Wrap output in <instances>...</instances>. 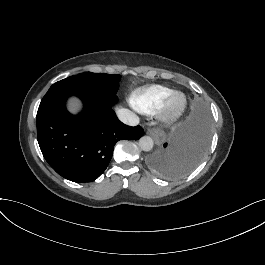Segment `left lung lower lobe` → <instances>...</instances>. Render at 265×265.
<instances>
[{"label": "left lung lower lobe", "instance_id": "obj_1", "mask_svg": "<svg viewBox=\"0 0 265 265\" xmlns=\"http://www.w3.org/2000/svg\"><path fill=\"white\" fill-rule=\"evenodd\" d=\"M210 140L207 109L196 104L188 118L166 142L151 153L149 167L166 178H178L191 172L203 159Z\"/></svg>", "mask_w": 265, "mask_h": 265}]
</instances>
